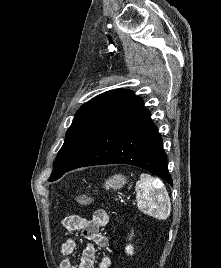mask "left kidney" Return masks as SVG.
<instances>
[{"label": "left kidney", "mask_w": 221, "mask_h": 268, "mask_svg": "<svg viewBox=\"0 0 221 268\" xmlns=\"http://www.w3.org/2000/svg\"><path fill=\"white\" fill-rule=\"evenodd\" d=\"M125 250H126V253L129 255H132L133 254V250H134V248H133V246L132 245H128V246H126V248H125Z\"/></svg>", "instance_id": "obj_1"}]
</instances>
